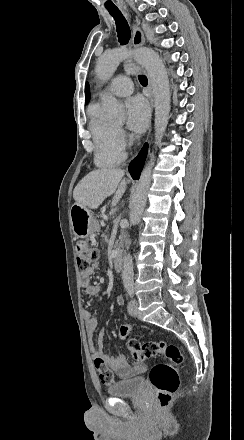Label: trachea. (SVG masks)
<instances>
[{
	"label": "trachea",
	"instance_id": "3493384b",
	"mask_svg": "<svg viewBox=\"0 0 244 440\" xmlns=\"http://www.w3.org/2000/svg\"><path fill=\"white\" fill-rule=\"evenodd\" d=\"M108 11L110 15L114 17V20L116 22V31L118 34L119 42L122 45L127 44L131 36L130 28L127 21L118 9H108ZM139 82L141 83V85H143V87H146V85L148 84V79L145 75H140Z\"/></svg>",
	"mask_w": 244,
	"mask_h": 440
}]
</instances>
